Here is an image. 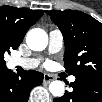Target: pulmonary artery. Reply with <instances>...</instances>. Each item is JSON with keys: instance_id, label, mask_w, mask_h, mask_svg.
Returning a JSON list of instances; mask_svg holds the SVG:
<instances>
[{"instance_id": "1", "label": "pulmonary artery", "mask_w": 102, "mask_h": 102, "mask_svg": "<svg viewBox=\"0 0 102 102\" xmlns=\"http://www.w3.org/2000/svg\"><path fill=\"white\" fill-rule=\"evenodd\" d=\"M49 50L50 52L56 53L59 52L64 45V38H63V34L61 33L60 30L58 29H53L50 31L49 33ZM17 63L23 66H28L30 64H32V61H28V60H23V59H17ZM70 81H74L75 78L73 76H71L69 78Z\"/></svg>"}]
</instances>
